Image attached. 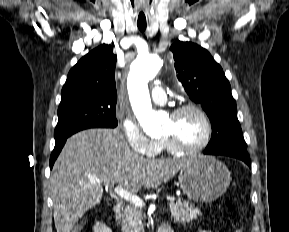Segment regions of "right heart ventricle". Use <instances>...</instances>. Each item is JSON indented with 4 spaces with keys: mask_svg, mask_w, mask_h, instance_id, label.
Wrapping results in <instances>:
<instances>
[{
    "mask_svg": "<svg viewBox=\"0 0 289 232\" xmlns=\"http://www.w3.org/2000/svg\"><path fill=\"white\" fill-rule=\"evenodd\" d=\"M166 145L165 143L163 142V140L161 141V147H160V151L163 150V149H166Z\"/></svg>",
    "mask_w": 289,
    "mask_h": 232,
    "instance_id": "obj_1",
    "label": "right heart ventricle"
}]
</instances>
